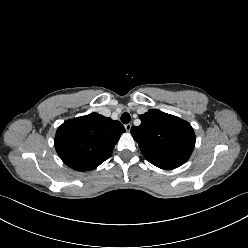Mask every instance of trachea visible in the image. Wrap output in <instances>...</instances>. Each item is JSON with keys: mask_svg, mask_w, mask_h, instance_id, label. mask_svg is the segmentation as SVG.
<instances>
[{"mask_svg": "<svg viewBox=\"0 0 248 248\" xmlns=\"http://www.w3.org/2000/svg\"><path fill=\"white\" fill-rule=\"evenodd\" d=\"M130 120H131V116H130L129 113L125 112V113H123L121 115V121H122V123L127 124V123L130 122Z\"/></svg>", "mask_w": 248, "mask_h": 248, "instance_id": "1", "label": "trachea"}]
</instances>
